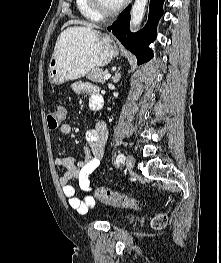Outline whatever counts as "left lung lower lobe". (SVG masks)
Instances as JSON below:
<instances>
[{
  "instance_id": "0a47b994",
  "label": "left lung lower lobe",
  "mask_w": 221,
  "mask_h": 263,
  "mask_svg": "<svg viewBox=\"0 0 221 263\" xmlns=\"http://www.w3.org/2000/svg\"><path fill=\"white\" fill-rule=\"evenodd\" d=\"M163 3L164 0L150 1L148 22L137 33H131L129 30L131 6L127 7L121 17L108 27V30L137 57L138 64L147 62L153 57L152 50L148 46L156 37V27L163 14Z\"/></svg>"
}]
</instances>
